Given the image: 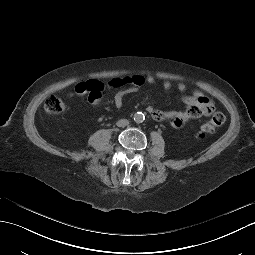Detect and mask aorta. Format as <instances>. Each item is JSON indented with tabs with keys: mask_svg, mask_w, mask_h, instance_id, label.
Returning a JSON list of instances; mask_svg holds the SVG:
<instances>
[{
	"mask_svg": "<svg viewBox=\"0 0 255 255\" xmlns=\"http://www.w3.org/2000/svg\"><path fill=\"white\" fill-rule=\"evenodd\" d=\"M133 118L136 123H142L145 120V116L142 112H136Z\"/></svg>",
	"mask_w": 255,
	"mask_h": 255,
	"instance_id": "762f6f07",
	"label": "aorta"
}]
</instances>
